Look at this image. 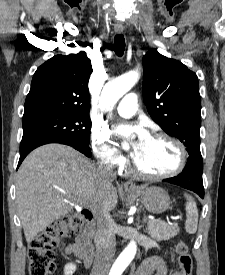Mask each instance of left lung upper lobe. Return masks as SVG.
<instances>
[{"instance_id": "5c2ea615", "label": "left lung upper lobe", "mask_w": 225, "mask_h": 275, "mask_svg": "<svg viewBox=\"0 0 225 275\" xmlns=\"http://www.w3.org/2000/svg\"><path fill=\"white\" fill-rule=\"evenodd\" d=\"M143 97L148 113L189 155L200 153L201 101L197 75L151 49L143 56Z\"/></svg>"}]
</instances>
